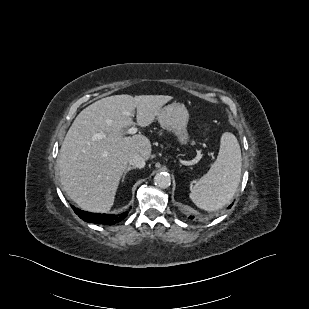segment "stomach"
I'll return each instance as SVG.
<instances>
[{"label": "stomach", "instance_id": "1", "mask_svg": "<svg viewBox=\"0 0 309 309\" xmlns=\"http://www.w3.org/2000/svg\"><path fill=\"white\" fill-rule=\"evenodd\" d=\"M158 122L163 127H168L181 145H187L190 136L187 131L189 113L183 104L172 103L163 107L158 115Z\"/></svg>", "mask_w": 309, "mask_h": 309}]
</instances>
